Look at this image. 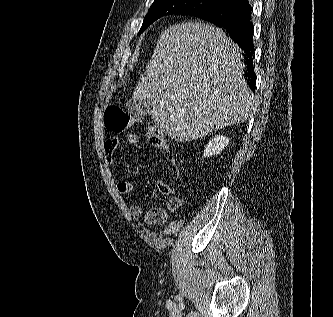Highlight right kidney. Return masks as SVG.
I'll list each match as a JSON object with an SVG mask.
<instances>
[{
	"instance_id": "obj_1",
	"label": "right kidney",
	"mask_w": 333,
	"mask_h": 317,
	"mask_svg": "<svg viewBox=\"0 0 333 317\" xmlns=\"http://www.w3.org/2000/svg\"><path fill=\"white\" fill-rule=\"evenodd\" d=\"M229 138L226 136H215L209 140L208 144L205 146L203 157H210L213 155H218L222 150L228 145Z\"/></svg>"
}]
</instances>
